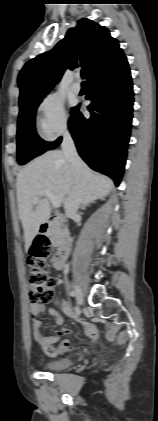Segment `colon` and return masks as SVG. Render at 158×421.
Returning <instances> with one entry per match:
<instances>
[{
    "label": "colon",
    "instance_id": "5ec220e1",
    "mask_svg": "<svg viewBox=\"0 0 158 421\" xmlns=\"http://www.w3.org/2000/svg\"><path fill=\"white\" fill-rule=\"evenodd\" d=\"M51 252L49 241L39 236L30 249L28 258V297L32 305L45 304L54 297L55 280L47 270V258Z\"/></svg>",
    "mask_w": 158,
    "mask_h": 421
}]
</instances>
